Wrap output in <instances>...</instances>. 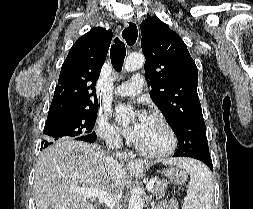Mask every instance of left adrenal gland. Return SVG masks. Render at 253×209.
Masks as SVG:
<instances>
[{
	"label": "left adrenal gland",
	"instance_id": "1",
	"mask_svg": "<svg viewBox=\"0 0 253 209\" xmlns=\"http://www.w3.org/2000/svg\"><path fill=\"white\" fill-rule=\"evenodd\" d=\"M147 204H150L151 209H156L155 203L152 201V196H148Z\"/></svg>",
	"mask_w": 253,
	"mask_h": 209
}]
</instances>
